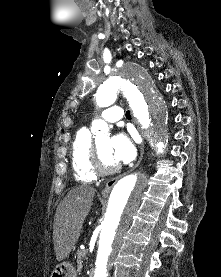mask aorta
<instances>
[{
	"instance_id": "1",
	"label": "aorta",
	"mask_w": 221,
	"mask_h": 277,
	"mask_svg": "<svg viewBox=\"0 0 221 277\" xmlns=\"http://www.w3.org/2000/svg\"><path fill=\"white\" fill-rule=\"evenodd\" d=\"M120 94L128 100L134 117L153 139L154 146L162 151L169 139L167 108L148 73L138 65L124 66L99 86L96 104L102 108L108 107ZM91 130L96 137L106 136L109 127L106 122L97 119L92 122ZM145 187L146 178L140 174L127 175L113 187L101 223L94 277H107L108 266L121 247L123 236L140 206Z\"/></svg>"
}]
</instances>
